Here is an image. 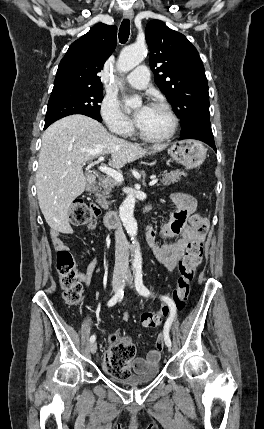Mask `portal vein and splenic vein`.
<instances>
[{
    "label": "portal vein and splenic vein",
    "instance_id": "portal-vein-and-splenic-vein-1",
    "mask_svg": "<svg viewBox=\"0 0 264 429\" xmlns=\"http://www.w3.org/2000/svg\"><path fill=\"white\" fill-rule=\"evenodd\" d=\"M102 160H104V157L103 156H100L99 158H98V161H102ZM99 170L101 171V172H103V173H105V174H107L108 176H110L111 178H113V179H115L117 182H119V183H122L123 182V175L120 173V172H118V171H116V170H114V169H112V168H109V167H107V166H99ZM157 181H158V179H156V178H152V180L150 181V183H149V185L150 186H153V185H155L156 183H157Z\"/></svg>",
    "mask_w": 264,
    "mask_h": 429
}]
</instances>
